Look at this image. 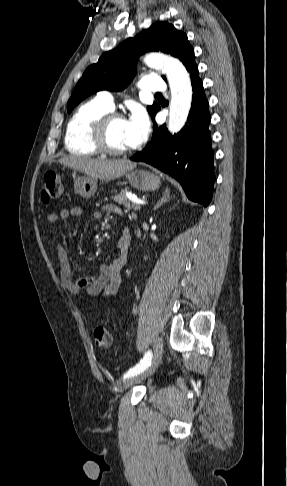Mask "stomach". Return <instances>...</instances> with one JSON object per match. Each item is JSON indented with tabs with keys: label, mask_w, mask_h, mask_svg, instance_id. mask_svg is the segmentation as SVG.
<instances>
[{
	"label": "stomach",
	"mask_w": 287,
	"mask_h": 486,
	"mask_svg": "<svg viewBox=\"0 0 287 486\" xmlns=\"http://www.w3.org/2000/svg\"><path fill=\"white\" fill-rule=\"evenodd\" d=\"M126 177L130 184L140 191H154L159 188L160 178L146 170H130ZM97 178L84 176L75 180L74 189L84 198L93 196L97 190Z\"/></svg>",
	"instance_id": "stomach-1"
}]
</instances>
